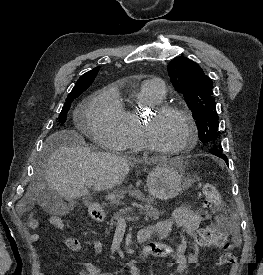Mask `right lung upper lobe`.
I'll use <instances>...</instances> for the list:
<instances>
[{
	"mask_svg": "<svg viewBox=\"0 0 263 275\" xmlns=\"http://www.w3.org/2000/svg\"><path fill=\"white\" fill-rule=\"evenodd\" d=\"M100 67H95L94 69H92L91 71L83 74L78 81L76 82L74 88L72 89L71 94H74L75 92L82 90L84 88H88L92 82L94 81L98 71H99Z\"/></svg>",
	"mask_w": 263,
	"mask_h": 275,
	"instance_id": "obj_1",
	"label": "right lung upper lobe"
}]
</instances>
